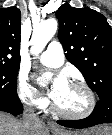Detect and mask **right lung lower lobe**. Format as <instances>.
<instances>
[{
    "label": "right lung lower lobe",
    "mask_w": 112,
    "mask_h": 135,
    "mask_svg": "<svg viewBox=\"0 0 112 135\" xmlns=\"http://www.w3.org/2000/svg\"><path fill=\"white\" fill-rule=\"evenodd\" d=\"M0 111L17 115L23 112V106L20 102L0 100Z\"/></svg>",
    "instance_id": "1"
}]
</instances>
